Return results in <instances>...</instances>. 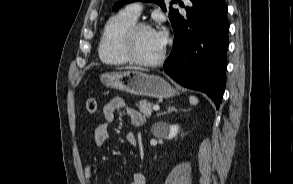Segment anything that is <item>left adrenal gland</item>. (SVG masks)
I'll list each match as a JSON object with an SVG mask.
<instances>
[{"label": "left adrenal gland", "instance_id": "1", "mask_svg": "<svg viewBox=\"0 0 293 184\" xmlns=\"http://www.w3.org/2000/svg\"><path fill=\"white\" fill-rule=\"evenodd\" d=\"M176 111H177V109H176L175 107H173V106H169V107L167 108V111H166V112H163V113H161V114H158V116L165 115V114H167V113H171V112H176Z\"/></svg>", "mask_w": 293, "mask_h": 184}]
</instances>
